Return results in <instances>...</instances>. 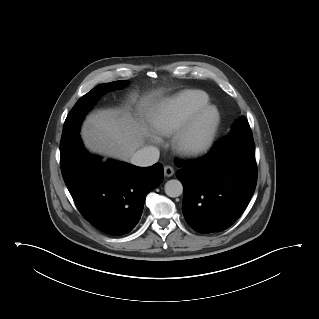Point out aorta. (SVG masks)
I'll return each instance as SVG.
<instances>
[{"instance_id":"1","label":"aorta","mask_w":319,"mask_h":319,"mask_svg":"<svg viewBox=\"0 0 319 319\" xmlns=\"http://www.w3.org/2000/svg\"><path fill=\"white\" fill-rule=\"evenodd\" d=\"M165 193L172 198L179 197L183 193V186L179 180L172 179L165 184Z\"/></svg>"}]
</instances>
